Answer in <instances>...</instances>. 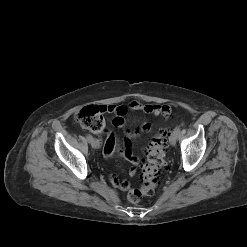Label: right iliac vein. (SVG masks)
Listing matches in <instances>:
<instances>
[{
  "instance_id": "right-iliac-vein-1",
  "label": "right iliac vein",
  "mask_w": 247,
  "mask_h": 247,
  "mask_svg": "<svg viewBox=\"0 0 247 247\" xmlns=\"http://www.w3.org/2000/svg\"><path fill=\"white\" fill-rule=\"evenodd\" d=\"M89 143L91 144V146H92L94 149L98 148V141H97L96 139L92 138V139L89 141Z\"/></svg>"
}]
</instances>
